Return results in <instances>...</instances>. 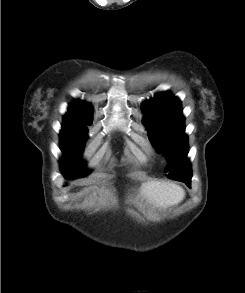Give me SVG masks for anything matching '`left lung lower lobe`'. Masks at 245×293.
<instances>
[{
	"label": "left lung lower lobe",
	"instance_id": "obj_1",
	"mask_svg": "<svg viewBox=\"0 0 245 293\" xmlns=\"http://www.w3.org/2000/svg\"><path fill=\"white\" fill-rule=\"evenodd\" d=\"M191 177L192 176H184V177H181L180 178L181 179L180 181L186 183V185L190 187Z\"/></svg>",
	"mask_w": 245,
	"mask_h": 293
}]
</instances>
